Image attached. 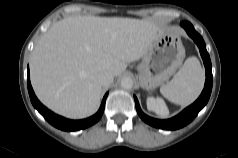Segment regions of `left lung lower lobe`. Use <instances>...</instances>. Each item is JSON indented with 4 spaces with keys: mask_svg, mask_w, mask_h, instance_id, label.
<instances>
[{
    "mask_svg": "<svg viewBox=\"0 0 238 158\" xmlns=\"http://www.w3.org/2000/svg\"><path fill=\"white\" fill-rule=\"evenodd\" d=\"M181 26L186 30L187 34L195 41V43L199 47L205 65L206 81L204 90L201 93L200 97L177 116L168 120H158L144 114L139 106L137 98L134 96L136 109L141 119L153 127L166 130L179 129L189 124L197 116L199 111L207 104L212 90V65L209 54L206 50L205 42L203 38L195 31L193 25L190 22L183 21L181 22Z\"/></svg>",
    "mask_w": 238,
    "mask_h": 158,
    "instance_id": "1",
    "label": "left lung lower lobe"
}]
</instances>
